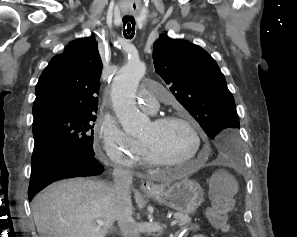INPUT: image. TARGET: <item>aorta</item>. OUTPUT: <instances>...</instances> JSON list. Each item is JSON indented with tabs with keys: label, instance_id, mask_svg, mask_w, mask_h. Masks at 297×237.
Wrapping results in <instances>:
<instances>
[{
	"label": "aorta",
	"instance_id": "obj_1",
	"mask_svg": "<svg viewBox=\"0 0 297 237\" xmlns=\"http://www.w3.org/2000/svg\"><path fill=\"white\" fill-rule=\"evenodd\" d=\"M146 72V65L140 60H131L115 76L112 84V103L124 132L130 136L139 135L148 118L136 106L135 93Z\"/></svg>",
	"mask_w": 297,
	"mask_h": 237
}]
</instances>
